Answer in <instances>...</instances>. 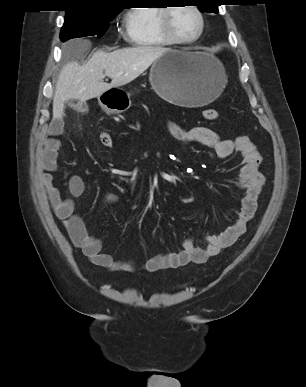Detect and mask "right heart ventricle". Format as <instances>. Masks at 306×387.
Instances as JSON below:
<instances>
[{"label": "right heart ventricle", "mask_w": 306, "mask_h": 387, "mask_svg": "<svg viewBox=\"0 0 306 387\" xmlns=\"http://www.w3.org/2000/svg\"><path fill=\"white\" fill-rule=\"evenodd\" d=\"M160 6L137 7L124 17V37L133 46L160 48L172 43L162 34L160 27Z\"/></svg>", "instance_id": "obj_1"}]
</instances>
